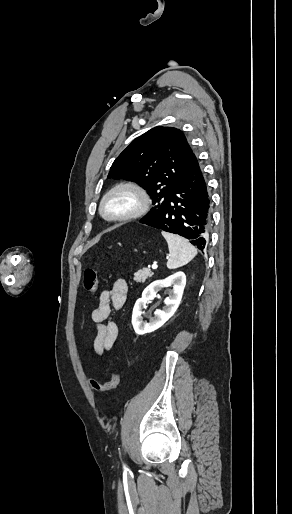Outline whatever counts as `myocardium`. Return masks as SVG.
Listing matches in <instances>:
<instances>
[{"instance_id":"obj_1","label":"myocardium","mask_w":292,"mask_h":514,"mask_svg":"<svg viewBox=\"0 0 292 514\" xmlns=\"http://www.w3.org/2000/svg\"><path fill=\"white\" fill-rule=\"evenodd\" d=\"M119 195H127L131 198V205L119 212L109 213V203ZM149 207V197L145 190L134 183H120L108 190L100 201L99 213L103 219L111 222H121L142 215Z\"/></svg>"}]
</instances>
